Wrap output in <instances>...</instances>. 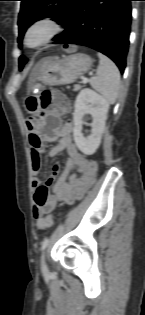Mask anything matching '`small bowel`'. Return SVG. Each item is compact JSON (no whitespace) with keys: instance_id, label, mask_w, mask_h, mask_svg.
Instances as JSON below:
<instances>
[{"instance_id":"1","label":"small bowel","mask_w":145,"mask_h":315,"mask_svg":"<svg viewBox=\"0 0 145 315\" xmlns=\"http://www.w3.org/2000/svg\"><path fill=\"white\" fill-rule=\"evenodd\" d=\"M28 126L33 127L29 122ZM72 124L66 123L59 130V141L50 150L51 157L57 156L62 152H66L68 158L65 162L64 169L59 174L60 165L56 164L52 170V174L47 180V185L53 184L52 193L53 197L49 199V192L47 186H42L38 178V173L41 169V154L43 141L49 142L53 139V133L48 130H42L40 139L35 134H30L28 140V147H31V170L33 174L32 187L35 191L34 200L37 205L34 206L33 214L37 221L39 229L43 216H53L51 212L59 202L73 203L80 200L94 185L98 175V165L95 161L89 159L84 154L80 153L73 143L71 138ZM53 224L47 223L44 229H48Z\"/></svg>"}]
</instances>
